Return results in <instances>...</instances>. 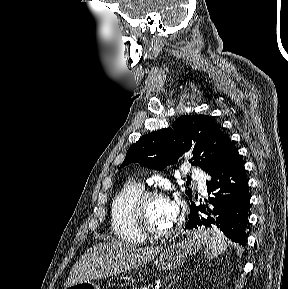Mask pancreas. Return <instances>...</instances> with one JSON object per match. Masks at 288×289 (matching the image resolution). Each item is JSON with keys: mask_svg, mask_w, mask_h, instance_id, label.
<instances>
[{"mask_svg": "<svg viewBox=\"0 0 288 289\" xmlns=\"http://www.w3.org/2000/svg\"><path fill=\"white\" fill-rule=\"evenodd\" d=\"M146 287H147V286H145V288H142V289H147ZM135 289H136V288H135Z\"/></svg>", "mask_w": 288, "mask_h": 289, "instance_id": "1", "label": "pancreas"}]
</instances>
